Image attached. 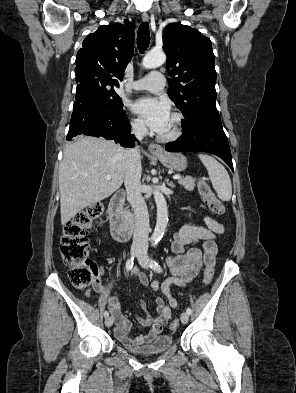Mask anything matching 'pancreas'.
Instances as JSON below:
<instances>
[{"instance_id":"pancreas-1","label":"pancreas","mask_w":296,"mask_h":393,"mask_svg":"<svg viewBox=\"0 0 296 393\" xmlns=\"http://www.w3.org/2000/svg\"><path fill=\"white\" fill-rule=\"evenodd\" d=\"M178 184L183 186L188 191H193L196 185V179L192 177H185L178 180ZM129 214V212H127Z\"/></svg>"}]
</instances>
